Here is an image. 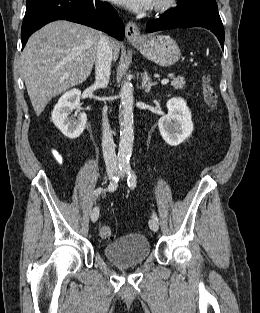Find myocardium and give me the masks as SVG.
Returning <instances> with one entry per match:
<instances>
[{"label": "myocardium", "mask_w": 260, "mask_h": 313, "mask_svg": "<svg viewBox=\"0 0 260 313\" xmlns=\"http://www.w3.org/2000/svg\"><path fill=\"white\" fill-rule=\"evenodd\" d=\"M175 5V0H156L153 9L156 12H165Z\"/></svg>", "instance_id": "myocardium-1"}]
</instances>
